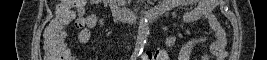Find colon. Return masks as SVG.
I'll list each match as a JSON object with an SVG mask.
<instances>
[{
  "label": "colon",
  "mask_w": 267,
  "mask_h": 60,
  "mask_svg": "<svg viewBox=\"0 0 267 60\" xmlns=\"http://www.w3.org/2000/svg\"><path fill=\"white\" fill-rule=\"evenodd\" d=\"M82 0L62 1L58 7L55 18L52 21L53 26L49 28L43 40V53L47 60H68L71 58L70 52L64 44L66 36L65 28L74 17V5L83 4ZM82 21H75L77 28L83 27Z\"/></svg>",
  "instance_id": "colon-1"
}]
</instances>
